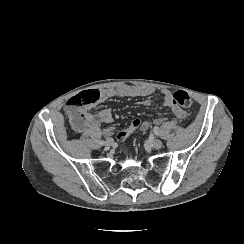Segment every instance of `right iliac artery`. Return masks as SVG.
Listing matches in <instances>:
<instances>
[{"label":"right iliac artery","instance_id":"1","mask_svg":"<svg viewBox=\"0 0 244 244\" xmlns=\"http://www.w3.org/2000/svg\"><path fill=\"white\" fill-rule=\"evenodd\" d=\"M104 144H105V141H101V142H100V145H104Z\"/></svg>","mask_w":244,"mask_h":244}]
</instances>
